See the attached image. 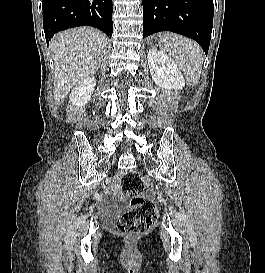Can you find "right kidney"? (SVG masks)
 I'll return each instance as SVG.
<instances>
[{
  "label": "right kidney",
  "mask_w": 265,
  "mask_h": 273,
  "mask_svg": "<svg viewBox=\"0 0 265 273\" xmlns=\"http://www.w3.org/2000/svg\"><path fill=\"white\" fill-rule=\"evenodd\" d=\"M95 85L96 80L94 77H88L79 82L69 95V100L72 105L76 107L84 106L90 100Z\"/></svg>",
  "instance_id": "ca27d5eb"
}]
</instances>
